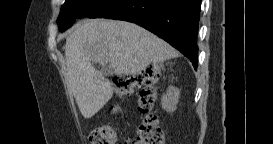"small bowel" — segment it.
<instances>
[{"label": "small bowel", "mask_w": 273, "mask_h": 144, "mask_svg": "<svg viewBox=\"0 0 273 144\" xmlns=\"http://www.w3.org/2000/svg\"><path fill=\"white\" fill-rule=\"evenodd\" d=\"M125 144H128V143H132L131 141H126V142H124Z\"/></svg>", "instance_id": "1"}]
</instances>
